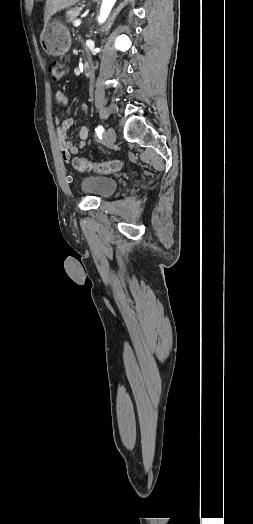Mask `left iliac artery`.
Segmentation results:
<instances>
[{
	"mask_svg": "<svg viewBox=\"0 0 253 524\" xmlns=\"http://www.w3.org/2000/svg\"><path fill=\"white\" fill-rule=\"evenodd\" d=\"M103 127L101 125H99L97 128H96V134L99 138H101L102 136V133H103Z\"/></svg>",
	"mask_w": 253,
	"mask_h": 524,
	"instance_id": "44dca946",
	"label": "left iliac artery"
}]
</instances>
